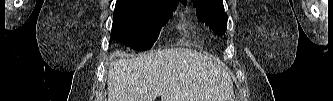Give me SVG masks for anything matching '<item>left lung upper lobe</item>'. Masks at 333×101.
Masks as SVG:
<instances>
[{"mask_svg":"<svg viewBox=\"0 0 333 101\" xmlns=\"http://www.w3.org/2000/svg\"><path fill=\"white\" fill-rule=\"evenodd\" d=\"M197 8V17L217 34L227 29V14L224 12L222 0H192Z\"/></svg>","mask_w":333,"mask_h":101,"instance_id":"5c2ea615","label":"left lung upper lobe"}]
</instances>
